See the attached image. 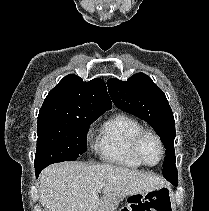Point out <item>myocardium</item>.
<instances>
[{"label":"myocardium","mask_w":209,"mask_h":211,"mask_svg":"<svg viewBox=\"0 0 209 211\" xmlns=\"http://www.w3.org/2000/svg\"><path fill=\"white\" fill-rule=\"evenodd\" d=\"M146 136H150V137L154 138L160 147V158L154 164L148 163L144 159V157L141 153V143H142V140L144 139V137H146ZM132 149H133V152H134L135 156L137 157V159L143 165L148 166V167H154V166L158 165L163 160V157L165 154V148H164V144H163L161 137L155 131H153L151 129H147V128H142L136 133V135L133 139V142H132Z\"/></svg>","instance_id":"myocardium-1"}]
</instances>
